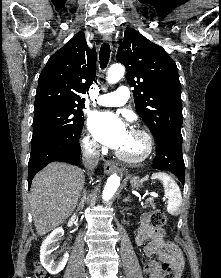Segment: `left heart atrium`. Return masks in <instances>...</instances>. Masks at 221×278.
Instances as JSON below:
<instances>
[{
  "mask_svg": "<svg viewBox=\"0 0 221 278\" xmlns=\"http://www.w3.org/2000/svg\"><path fill=\"white\" fill-rule=\"evenodd\" d=\"M89 127L99 142L113 149L122 148L129 137L126 124L112 112L93 113Z\"/></svg>",
  "mask_w": 221,
  "mask_h": 278,
  "instance_id": "left-heart-atrium-1",
  "label": "left heart atrium"
}]
</instances>
